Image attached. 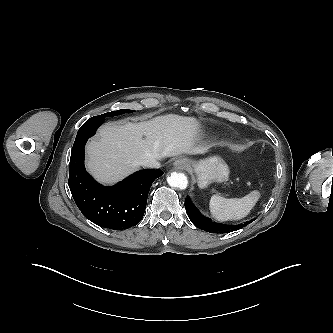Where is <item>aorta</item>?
Instances as JSON below:
<instances>
[{
  "label": "aorta",
  "instance_id": "1",
  "mask_svg": "<svg viewBox=\"0 0 333 333\" xmlns=\"http://www.w3.org/2000/svg\"><path fill=\"white\" fill-rule=\"evenodd\" d=\"M167 182L171 187L186 189L188 186V180L184 173L173 172L167 177Z\"/></svg>",
  "mask_w": 333,
  "mask_h": 333
}]
</instances>
